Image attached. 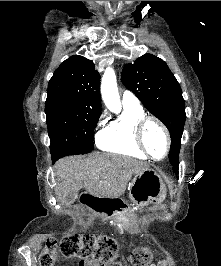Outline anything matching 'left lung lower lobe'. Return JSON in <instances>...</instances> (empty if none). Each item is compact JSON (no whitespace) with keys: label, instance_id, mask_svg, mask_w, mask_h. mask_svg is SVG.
<instances>
[{"label":"left lung lower lobe","instance_id":"0a47b994","mask_svg":"<svg viewBox=\"0 0 221 266\" xmlns=\"http://www.w3.org/2000/svg\"><path fill=\"white\" fill-rule=\"evenodd\" d=\"M173 171L178 174V166H173Z\"/></svg>","mask_w":221,"mask_h":266}]
</instances>
